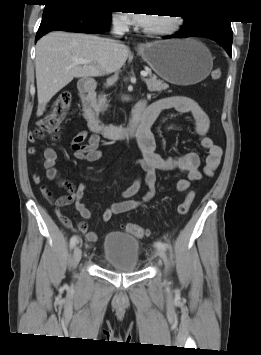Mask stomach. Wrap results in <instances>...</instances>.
Masks as SVG:
<instances>
[{"label":"stomach","mask_w":261,"mask_h":355,"mask_svg":"<svg viewBox=\"0 0 261 355\" xmlns=\"http://www.w3.org/2000/svg\"><path fill=\"white\" fill-rule=\"evenodd\" d=\"M138 53L158 76L176 85L199 83L213 67L209 49L194 38L147 43Z\"/></svg>","instance_id":"1"}]
</instances>
